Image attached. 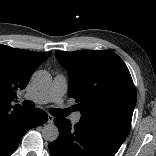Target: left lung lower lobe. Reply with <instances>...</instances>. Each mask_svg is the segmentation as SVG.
Listing matches in <instances>:
<instances>
[{
  "instance_id": "left-lung-lower-lobe-1",
  "label": "left lung lower lobe",
  "mask_w": 156,
  "mask_h": 156,
  "mask_svg": "<svg viewBox=\"0 0 156 156\" xmlns=\"http://www.w3.org/2000/svg\"><path fill=\"white\" fill-rule=\"evenodd\" d=\"M57 140L49 144L51 156H114L127 137L103 125L78 122L74 127L65 118H55Z\"/></svg>"
}]
</instances>
